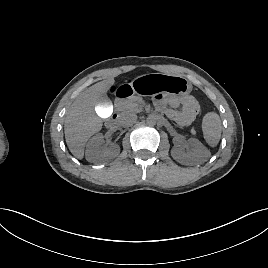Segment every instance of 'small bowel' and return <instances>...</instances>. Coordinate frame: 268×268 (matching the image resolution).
Wrapping results in <instances>:
<instances>
[{"label":"small bowel","mask_w":268,"mask_h":268,"mask_svg":"<svg viewBox=\"0 0 268 268\" xmlns=\"http://www.w3.org/2000/svg\"><path fill=\"white\" fill-rule=\"evenodd\" d=\"M155 106L182 127L191 125L200 110L199 103L193 96L158 95L155 99Z\"/></svg>","instance_id":"small-bowel-1"}]
</instances>
